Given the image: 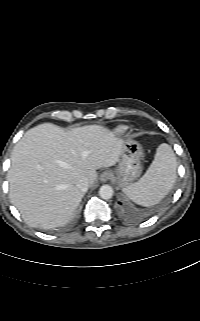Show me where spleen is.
<instances>
[{
  "instance_id": "spleen-1",
  "label": "spleen",
  "mask_w": 200,
  "mask_h": 321,
  "mask_svg": "<svg viewBox=\"0 0 200 321\" xmlns=\"http://www.w3.org/2000/svg\"><path fill=\"white\" fill-rule=\"evenodd\" d=\"M177 159L172 148L162 143L145 174L122 189L134 203L150 207L158 204L173 188L177 179Z\"/></svg>"
}]
</instances>
